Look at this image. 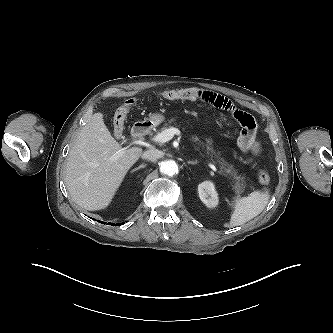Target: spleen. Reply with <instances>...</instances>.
Returning a JSON list of instances; mask_svg holds the SVG:
<instances>
[{
  "label": "spleen",
  "mask_w": 333,
  "mask_h": 333,
  "mask_svg": "<svg viewBox=\"0 0 333 333\" xmlns=\"http://www.w3.org/2000/svg\"><path fill=\"white\" fill-rule=\"evenodd\" d=\"M267 191H254L247 197L236 198L233 201L234 211L231 214L230 226H239L259 215L269 202Z\"/></svg>",
  "instance_id": "1"
}]
</instances>
